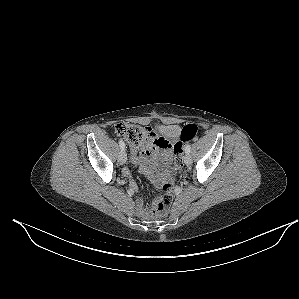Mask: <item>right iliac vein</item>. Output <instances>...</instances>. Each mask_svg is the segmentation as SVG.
Here are the masks:
<instances>
[{
	"label": "right iliac vein",
	"mask_w": 299,
	"mask_h": 299,
	"mask_svg": "<svg viewBox=\"0 0 299 299\" xmlns=\"http://www.w3.org/2000/svg\"><path fill=\"white\" fill-rule=\"evenodd\" d=\"M126 160H127L126 152H125V150H121L119 157H118L119 164L120 165L125 164Z\"/></svg>",
	"instance_id": "obj_1"
}]
</instances>
